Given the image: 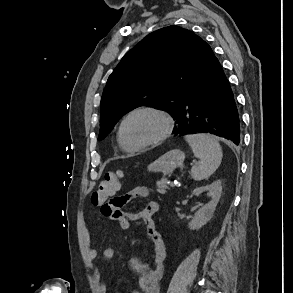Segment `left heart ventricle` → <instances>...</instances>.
<instances>
[{
    "instance_id": "left-heart-ventricle-1",
    "label": "left heart ventricle",
    "mask_w": 293,
    "mask_h": 293,
    "mask_svg": "<svg viewBox=\"0 0 293 293\" xmlns=\"http://www.w3.org/2000/svg\"><path fill=\"white\" fill-rule=\"evenodd\" d=\"M163 129L162 120L151 113L133 115L125 124L124 134L132 145H138L156 138Z\"/></svg>"
}]
</instances>
